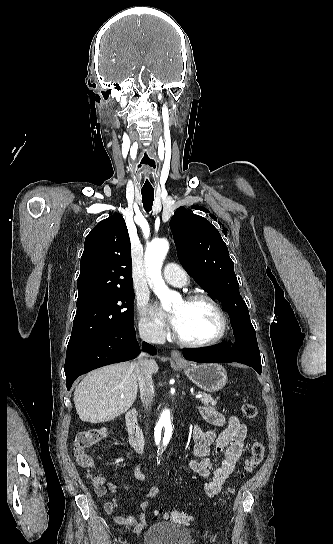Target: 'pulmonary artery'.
Instances as JSON below:
<instances>
[{
  "instance_id": "1",
  "label": "pulmonary artery",
  "mask_w": 333,
  "mask_h": 544,
  "mask_svg": "<svg viewBox=\"0 0 333 544\" xmlns=\"http://www.w3.org/2000/svg\"><path fill=\"white\" fill-rule=\"evenodd\" d=\"M164 279L176 287L185 286L188 283L186 271L175 263H168L163 270Z\"/></svg>"
}]
</instances>
